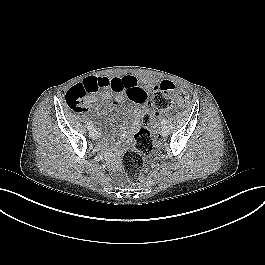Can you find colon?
<instances>
[{"label": "colon", "instance_id": "obj_1", "mask_svg": "<svg viewBox=\"0 0 265 265\" xmlns=\"http://www.w3.org/2000/svg\"><path fill=\"white\" fill-rule=\"evenodd\" d=\"M98 87L93 79L73 86L65 95L68 107L75 112H80L87 96L96 92ZM174 99L185 103L187 95L184 92H175L173 83L163 80L154 88L152 99L148 98V101L142 104L146 110L143 117L144 127L134 136V149L125 152L122 157L123 169L130 182L139 183L143 181L142 155L150 153L158 142V137L150 126L156 124V111L168 109Z\"/></svg>", "mask_w": 265, "mask_h": 265}]
</instances>
